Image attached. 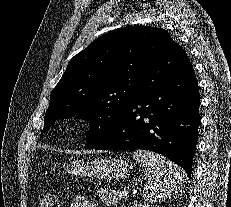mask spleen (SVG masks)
I'll list each match as a JSON object with an SVG mask.
<instances>
[{"label":"spleen","mask_w":231,"mask_h":207,"mask_svg":"<svg viewBox=\"0 0 231 207\" xmlns=\"http://www.w3.org/2000/svg\"><path fill=\"white\" fill-rule=\"evenodd\" d=\"M133 157L149 175L143 189L144 199L148 202L166 198L185 181L184 170L154 152L136 150Z\"/></svg>","instance_id":"obj_1"}]
</instances>
